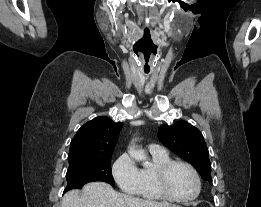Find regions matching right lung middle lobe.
<instances>
[{
    "mask_svg": "<svg viewBox=\"0 0 261 207\" xmlns=\"http://www.w3.org/2000/svg\"><path fill=\"white\" fill-rule=\"evenodd\" d=\"M66 180L64 193L71 189H80L86 183L94 181H104L115 186L111 173V157L69 163Z\"/></svg>",
    "mask_w": 261,
    "mask_h": 207,
    "instance_id": "dd1d6c3e",
    "label": "right lung middle lobe"
}]
</instances>
